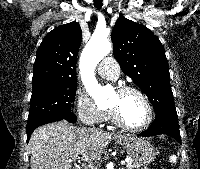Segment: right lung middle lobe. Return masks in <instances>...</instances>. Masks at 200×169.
Here are the masks:
<instances>
[{
	"label": "right lung middle lobe",
	"instance_id": "obj_1",
	"mask_svg": "<svg viewBox=\"0 0 200 169\" xmlns=\"http://www.w3.org/2000/svg\"><path fill=\"white\" fill-rule=\"evenodd\" d=\"M76 89L77 81L32 89L28 119L38 116L71 114Z\"/></svg>",
	"mask_w": 200,
	"mask_h": 169
}]
</instances>
